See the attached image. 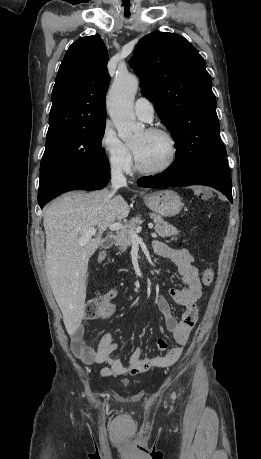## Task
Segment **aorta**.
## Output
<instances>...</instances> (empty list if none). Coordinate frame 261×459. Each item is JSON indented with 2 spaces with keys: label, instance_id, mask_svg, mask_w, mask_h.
<instances>
[{
  "label": "aorta",
  "instance_id": "762f6f07",
  "mask_svg": "<svg viewBox=\"0 0 261 459\" xmlns=\"http://www.w3.org/2000/svg\"><path fill=\"white\" fill-rule=\"evenodd\" d=\"M139 82L131 74H118L107 96V108L118 136L128 142L141 134L144 125L136 121L133 104Z\"/></svg>",
  "mask_w": 261,
  "mask_h": 459
}]
</instances>
